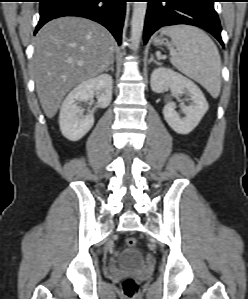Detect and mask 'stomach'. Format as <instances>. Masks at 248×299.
Here are the masks:
<instances>
[{"label": "stomach", "mask_w": 248, "mask_h": 299, "mask_svg": "<svg viewBox=\"0 0 248 299\" xmlns=\"http://www.w3.org/2000/svg\"><path fill=\"white\" fill-rule=\"evenodd\" d=\"M164 40L165 39H163V38H155L154 39V44L155 45H160V44H162L164 42Z\"/></svg>", "instance_id": "0dacf381"}]
</instances>
